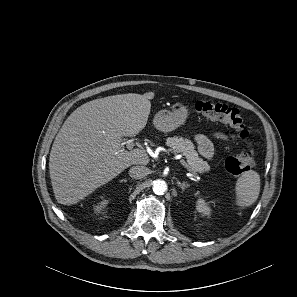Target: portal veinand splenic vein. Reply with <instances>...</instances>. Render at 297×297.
<instances>
[{
  "instance_id": "portal-vein-and-splenic-vein-1",
  "label": "portal vein and splenic vein",
  "mask_w": 297,
  "mask_h": 297,
  "mask_svg": "<svg viewBox=\"0 0 297 297\" xmlns=\"http://www.w3.org/2000/svg\"><path fill=\"white\" fill-rule=\"evenodd\" d=\"M122 148L124 149V145H126V147L128 148V149H132L133 148V143L131 142V141H125V142H123L122 144ZM178 159H180L179 157H177ZM180 163L187 169V171H189V172H191L193 175H195V172H193L192 170H191V168L189 167V165L183 160V159H181L180 160Z\"/></svg>"
}]
</instances>
